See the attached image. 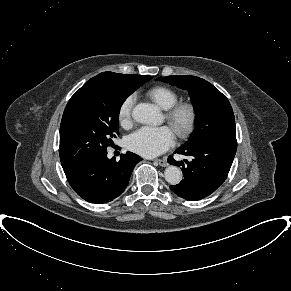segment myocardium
<instances>
[{
  "label": "myocardium",
  "instance_id": "obj_1",
  "mask_svg": "<svg viewBox=\"0 0 291 291\" xmlns=\"http://www.w3.org/2000/svg\"><path fill=\"white\" fill-rule=\"evenodd\" d=\"M166 121L180 139L187 138L194 130L198 110L193 102H179L166 111Z\"/></svg>",
  "mask_w": 291,
  "mask_h": 291
}]
</instances>
